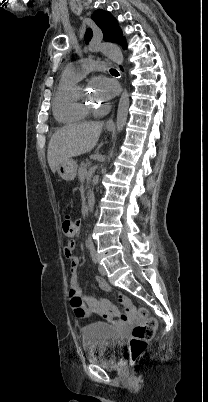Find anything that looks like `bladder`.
Returning <instances> with one entry per match:
<instances>
[{"label": "bladder", "mask_w": 208, "mask_h": 402, "mask_svg": "<svg viewBox=\"0 0 208 402\" xmlns=\"http://www.w3.org/2000/svg\"><path fill=\"white\" fill-rule=\"evenodd\" d=\"M83 348L88 360L106 365L116 363L115 356L121 347L123 338L113 326L94 323L83 328Z\"/></svg>", "instance_id": "bladder-1"}]
</instances>
